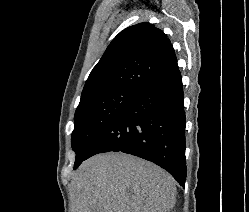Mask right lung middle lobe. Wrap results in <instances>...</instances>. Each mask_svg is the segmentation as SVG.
<instances>
[{
    "label": "right lung middle lobe",
    "mask_w": 249,
    "mask_h": 212,
    "mask_svg": "<svg viewBox=\"0 0 249 212\" xmlns=\"http://www.w3.org/2000/svg\"><path fill=\"white\" fill-rule=\"evenodd\" d=\"M138 94L133 91L108 92L79 104L71 137L72 149L76 153L74 169L87 159L98 137Z\"/></svg>",
    "instance_id": "right-lung-middle-lobe-1"
}]
</instances>
